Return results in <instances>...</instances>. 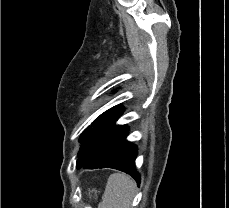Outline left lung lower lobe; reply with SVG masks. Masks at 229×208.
<instances>
[{
    "instance_id": "left-lung-lower-lobe-1",
    "label": "left lung lower lobe",
    "mask_w": 229,
    "mask_h": 208,
    "mask_svg": "<svg viewBox=\"0 0 229 208\" xmlns=\"http://www.w3.org/2000/svg\"><path fill=\"white\" fill-rule=\"evenodd\" d=\"M127 135L128 129H109L80 141L82 145L78 153L77 168H114L131 175L140 183V173L135 166L137 146L126 140Z\"/></svg>"
}]
</instances>
